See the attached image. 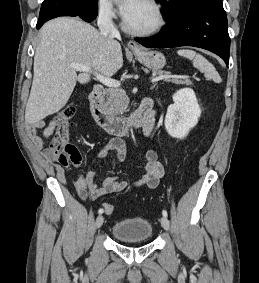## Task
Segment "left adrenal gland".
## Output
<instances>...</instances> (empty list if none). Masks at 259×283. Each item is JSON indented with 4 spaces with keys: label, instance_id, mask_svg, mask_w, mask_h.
I'll list each match as a JSON object with an SVG mask.
<instances>
[{
    "label": "left adrenal gland",
    "instance_id": "1",
    "mask_svg": "<svg viewBox=\"0 0 259 283\" xmlns=\"http://www.w3.org/2000/svg\"><path fill=\"white\" fill-rule=\"evenodd\" d=\"M156 83L153 84V86L151 87V89H154L156 87Z\"/></svg>",
    "mask_w": 259,
    "mask_h": 283
}]
</instances>
